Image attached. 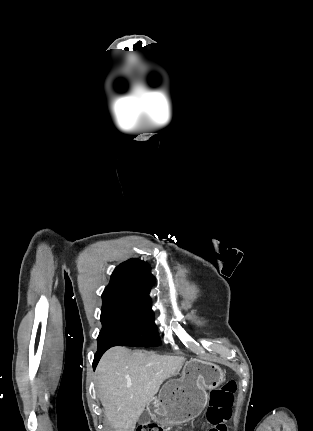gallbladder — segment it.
<instances>
[{"label": "gallbladder", "instance_id": "1", "mask_svg": "<svg viewBox=\"0 0 313 431\" xmlns=\"http://www.w3.org/2000/svg\"><path fill=\"white\" fill-rule=\"evenodd\" d=\"M141 419H142V421H143V422H147V421L150 419L148 412H146V411H145V412L142 414Z\"/></svg>", "mask_w": 313, "mask_h": 431}]
</instances>
